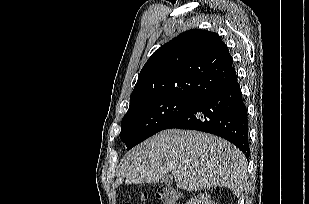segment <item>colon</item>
Instances as JSON below:
<instances>
[{
	"label": "colon",
	"instance_id": "5ec220e1",
	"mask_svg": "<svg viewBox=\"0 0 309 204\" xmlns=\"http://www.w3.org/2000/svg\"><path fill=\"white\" fill-rule=\"evenodd\" d=\"M143 197L144 196H142V198ZM157 197L163 202V204H176L179 198V191L176 188L162 185L157 189Z\"/></svg>",
	"mask_w": 309,
	"mask_h": 204
}]
</instances>
